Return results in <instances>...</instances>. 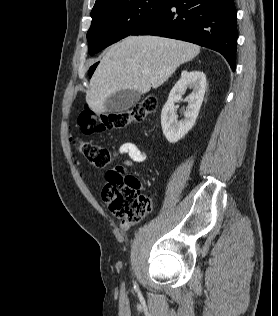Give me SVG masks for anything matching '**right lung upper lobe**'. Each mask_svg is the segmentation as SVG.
I'll use <instances>...</instances> for the list:
<instances>
[{
  "label": "right lung upper lobe",
  "mask_w": 278,
  "mask_h": 316,
  "mask_svg": "<svg viewBox=\"0 0 278 316\" xmlns=\"http://www.w3.org/2000/svg\"><path fill=\"white\" fill-rule=\"evenodd\" d=\"M104 1H107V0H96V2H95V5H94V6H96V5L100 4L101 2H104Z\"/></svg>",
  "instance_id": "right-lung-upper-lobe-1"
}]
</instances>
